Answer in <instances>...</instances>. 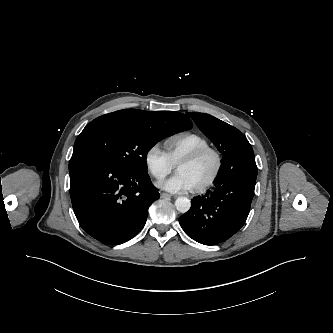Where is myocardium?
Listing matches in <instances>:
<instances>
[{
  "instance_id": "1",
  "label": "myocardium",
  "mask_w": 333,
  "mask_h": 333,
  "mask_svg": "<svg viewBox=\"0 0 333 333\" xmlns=\"http://www.w3.org/2000/svg\"><path fill=\"white\" fill-rule=\"evenodd\" d=\"M207 155H211L213 157L214 169H213L211 175L209 176V178L204 183L195 187L194 191H196V192H203V191L207 190L209 187H211L214 184V182L218 178L219 173L222 168V158H221L219 152L210 146L203 147V148H200V149H197V150L191 152L190 154L186 155L178 162V165L182 164V163H193V162H196V161L202 159L203 157H205Z\"/></svg>"
}]
</instances>
